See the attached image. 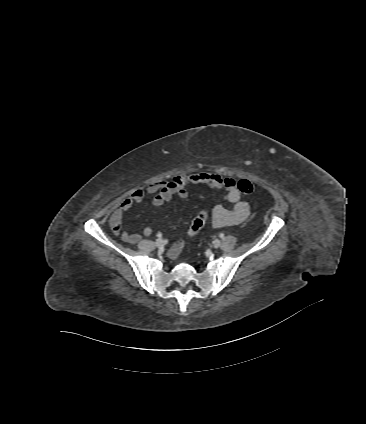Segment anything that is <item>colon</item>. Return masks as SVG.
Segmentation results:
<instances>
[{"label": "colon", "mask_w": 366, "mask_h": 424, "mask_svg": "<svg viewBox=\"0 0 366 424\" xmlns=\"http://www.w3.org/2000/svg\"><path fill=\"white\" fill-rule=\"evenodd\" d=\"M238 189L244 195H249L254 191V186L247 180H240L238 182ZM207 219V212L202 211L195 216L192 220L188 234L190 237H194L204 226Z\"/></svg>", "instance_id": "colon-1"}]
</instances>
